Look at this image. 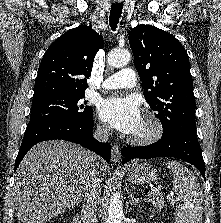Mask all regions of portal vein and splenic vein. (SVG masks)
<instances>
[{
	"label": "portal vein and splenic vein",
	"instance_id": "portal-vein-and-splenic-vein-1",
	"mask_svg": "<svg viewBox=\"0 0 221 223\" xmlns=\"http://www.w3.org/2000/svg\"><path fill=\"white\" fill-rule=\"evenodd\" d=\"M159 191H160V188L155 189V190H151V194H152V193H159Z\"/></svg>",
	"mask_w": 221,
	"mask_h": 223
}]
</instances>
